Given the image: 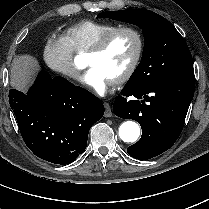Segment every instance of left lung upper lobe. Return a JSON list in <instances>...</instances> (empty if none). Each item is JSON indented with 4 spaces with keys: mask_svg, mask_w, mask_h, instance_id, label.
I'll return each instance as SVG.
<instances>
[{
    "mask_svg": "<svg viewBox=\"0 0 209 209\" xmlns=\"http://www.w3.org/2000/svg\"><path fill=\"white\" fill-rule=\"evenodd\" d=\"M97 18L124 21L143 30L142 59L127 84L146 85L193 70L185 40L164 17L149 10L128 9L103 12Z\"/></svg>",
    "mask_w": 209,
    "mask_h": 209,
    "instance_id": "5c2ea615",
    "label": "left lung upper lobe"
}]
</instances>
